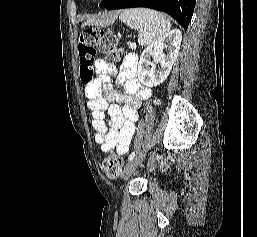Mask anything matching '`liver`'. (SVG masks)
Masks as SVG:
<instances>
[{
    "mask_svg": "<svg viewBox=\"0 0 257 237\" xmlns=\"http://www.w3.org/2000/svg\"><path fill=\"white\" fill-rule=\"evenodd\" d=\"M117 16H118V13H111V14L106 15L102 21L98 20L97 22H103L105 24H112L117 19ZM90 22H92V20L87 23H90Z\"/></svg>",
    "mask_w": 257,
    "mask_h": 237,
    "instance_id": "liver-1",
    "label": "liver"
}]
</instances>
